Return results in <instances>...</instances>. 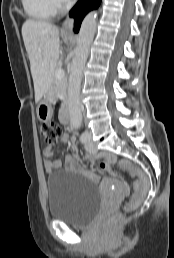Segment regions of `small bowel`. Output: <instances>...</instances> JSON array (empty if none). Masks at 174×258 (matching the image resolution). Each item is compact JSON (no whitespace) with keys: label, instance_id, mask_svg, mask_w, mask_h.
I'll return each instance as SVG.
<instances>
[{"label":"small bowel","instance_id":"obj_1","mask_svg":"<svg viewBox=\"0 0 174 258\" xmlns=\"http://www.w3.org/2000/svg\"><path fill=\"white\" fill-rule=\"evenodd\" d=\"M62 139H63V141H67L68 140L67 135H63ZM43 154L45 157L44 168H45V171L47 172V174H52L55 170H57L61 167L60 161L51 160L54 153L50 147H46L44 149ZM97 158H98L97 154H89L86 156V160L89 163H93ZM101 158L106 159V161L99 162L98 166L100 167V169L102 171H109V164H111L115 161V159H116L115 155H113L111 153H107V154L103 155ZM65 169L68 171H83L84 170L72 156L66 157ZM91 177L93 179L97 180V179H101L102 175L101 174H93V175H91Z\"/></svg>","mask_w":174,"mask_h":258}]
</instances>
